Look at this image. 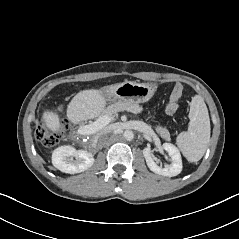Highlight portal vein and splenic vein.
I'll return each mask as SVG.
<instances>
[{
	"mask_svg": "<svg viewBox=\"0 0 239 239\" xmlns=\"http://www.w3.org/2000/svg\"><path fill=\"white\" fill-rule=\"evenodd\" d=\"M113 118H114V115H108V114L103 115L99 117L96 121H94L93 123L89 125H85L82 129L84 133L86 134L96 133L102 128H104L105 126H107L112 121Z\"/></svg>",
	"mask_w": 239,
	"mask_h": 239,
	"instance_id": "18ae733b",
	"label": "portal vein and splenic vein"
}]
</instances>
